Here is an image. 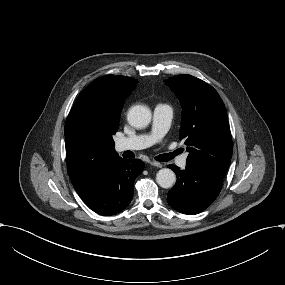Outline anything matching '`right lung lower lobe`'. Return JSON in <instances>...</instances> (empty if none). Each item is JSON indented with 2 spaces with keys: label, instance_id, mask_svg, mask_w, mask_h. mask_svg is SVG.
Wrapping results in <instances>:
<instances>
[{
  "label": "right lung lower lobe",
  "instance_id": "right-lung-lower-lobe-1",
  "mask_svg": "<svg viewBox=\"0 0 285 285\" xmlns=\"http://www.w3.org/2000/svg\"><path fill=\"white\" fill-rule=\"evenodd\" d=\"M143 168L144 163L139 159L121 158L80 197L98 214H116L129 205L133 196L134 180Z\"/></svg>",
  "mask_w": 285,
  "mask_h": 285
}]
</instances>
